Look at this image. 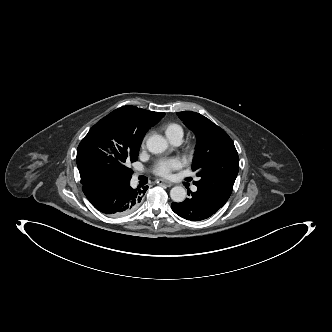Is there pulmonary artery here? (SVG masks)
<instances>
[{"label": "pulmonary artery", "instance_id": "1", "mask_svg": "<svg viewBox=\"0 0 332 332\" xmlns=\"http://www.w3.org/2000/svg\"><path fill=\"white\" fill-rule=\"evenodd\" d=\"M182 140L180 139H174L173 141H171V143L175 146L179 145L181 143ZM196 186L193 187V190L196 191Z\"/></svg>", "mask_w": 332, "mask_h": 332}]
</instances>
